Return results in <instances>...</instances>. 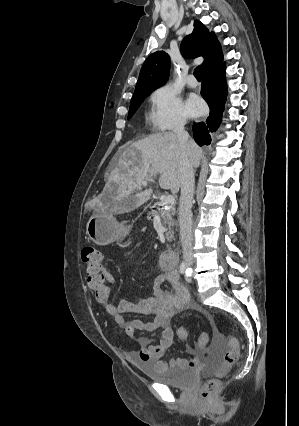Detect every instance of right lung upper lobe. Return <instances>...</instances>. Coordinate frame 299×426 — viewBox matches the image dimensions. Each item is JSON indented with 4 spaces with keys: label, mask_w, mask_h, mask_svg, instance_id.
<instances>
[{
    "label": "right lung upper lobe",
    "mask_w": 299,
    "mask_h": 426,
    "mask_svg": "<svg viewBox=\"0 0 299 426\" xmlns=\"http://www.w3.org/2000/svg\"><path fill=\"white\" fill-rule=\"evenodd\" d=\"M182 54L186 58L203 56V71H207L223 61L221 46L213 32L198 20L194 29L181 43ZM170 71V58L164 51L152 53L144 62L136 84L135 93L152 92L166 83Z\"/></svg>",
    "instance_id": "obj_1"
}]
</instances>
